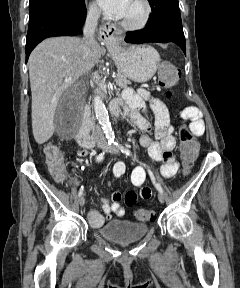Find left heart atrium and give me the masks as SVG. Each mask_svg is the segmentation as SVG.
<instances>
[{"label": "left heart atrium", "instance_id": "left-heart-atrium-1", "mask_svg": "<svg viewBox=\"0 0 240 288\" xmlns=\"http://www.w3.org/2000/svg\"><path fill=\"white\" fill-rule=\"evenodd\" d=\"M131 0H97L99 6L109 15L123 18Z\"/></svg>", "mask_w": 240, "mask_h": 288}]
</instances>
